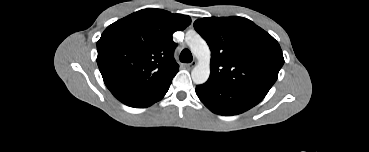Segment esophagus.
I'll return each mask as SVG.
<instances>
[{
	"mask_svg": "<svg viewBox=\"0 0 369 152\" xmlns=\"http://www.w3.org/2000/svg\"><path fill=\"white\" fill-rule=\"evenodd\" d=\"M196 61H192L191 63L187 64L188 69H192L196 65Z\"/></svg>",
	"mask_w": 369,
	"mask_h": 152,
	"instance_id": "esophagus-1",
	"label": "esophagus"
}]
</instances>
